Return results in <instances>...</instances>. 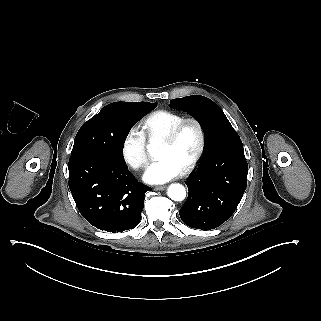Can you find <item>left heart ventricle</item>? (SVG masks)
Masks as SVG:
<instances>
[{
	"mask_svg": "<svg viewBox=\"0 0 321 321\" xmlns=\"http://www.w3.org/2000/svg\"><path fill=\"white\" fill-rule=\"evenodd\" d=\"M162 142L163 156H173L180 165V167L184 170V168L188 165L198 148L199 134L197 127L192 123L187 124L183 128L176 142L169 143L163 139Z\"/></svg>",
	"mask_w": 321,
	"mask_h": 321,
	"instance_id": "1",
	"label": "left heart ventricle"
}]
</instances>
